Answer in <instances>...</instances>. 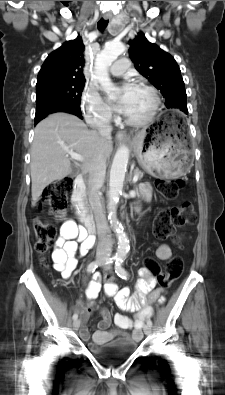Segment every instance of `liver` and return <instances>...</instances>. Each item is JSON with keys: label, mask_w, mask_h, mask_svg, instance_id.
<instances>
[{"label": "liver", "mask_w": 225, "mask_h": 395, "mask_svg": "<svg viewBox=\"0 0 225 395\" xmlns=\"http://www.w3.org/2000/svg\"><path fill=\"white\" fill-rule=\"evenodd\" d=\"M112 150L111 137L105 138L95 130H88L77 116L54 113L43 119L35 127L31 146L32 206L49 184L71 173L67 151L82 156L80 171L84 174L99 153L107 159Z\"/></svg>", "instance_id": "obj_1"}]
</instances>
